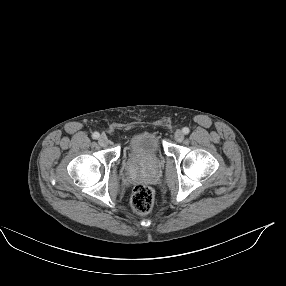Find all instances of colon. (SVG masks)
<instances>
[{
    "label": "colon",
    "mask_w": 286,
    "mask_h": 286,
    "mask_svg": "<svg viewBox=\"0 0 286 286\" xmlns=\"http://www.w3.org/2000/svg\"><path fill=\"white\" fill-rule=\"evenodd\" d=\"M154 203V194L152 189L144 184H139L133 189L131 205L138 214L148 213Z\"/></svg>",
    "instance_id": "5ec220e1"
}]
</instances>
